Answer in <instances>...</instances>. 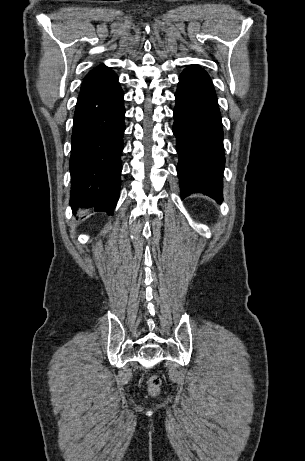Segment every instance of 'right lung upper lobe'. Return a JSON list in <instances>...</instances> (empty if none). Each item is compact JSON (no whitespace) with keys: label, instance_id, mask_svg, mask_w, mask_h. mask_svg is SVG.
<instances>
[{"label":"right lung upper lobe","instance_id":"cb5924a9","mask_svg":"<svg viewBox=\"0 0 305 461\" xmlns=\"http://www.w3.org/2000/svg\"><path fill=\"white\" fill-rule=\"evenodd\" d=\"M113 73L110 68L106 67L105 65H99L93 70H91L86 76L85 79L93 78V77H100L106 76Z\"/></svg>","mask_w":305,"mask_h":461}]
</instances>
